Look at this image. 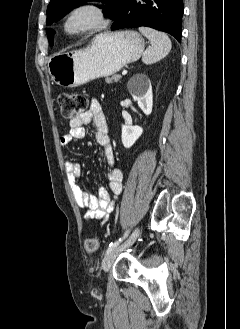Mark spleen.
Here are the masks:
<instances>
[{
	"label": "spleen",
	"mask_w": 240,
	"mask_h": 329,
	"mask_svg": "<svg viewBox=\"0 0 240 329\" xmlns=\"http://www.w3.org/2000/svg\"><path fill=\"white\" fill-rule=\"evenodd\" d=\"M139 31L151 42V47L147 48L142 55V61L145 64H153L170 52L172 43L166 33L148 27H140Z\"/></svg>",
	"instance_id": "3e777b00"
}]
</instances>
